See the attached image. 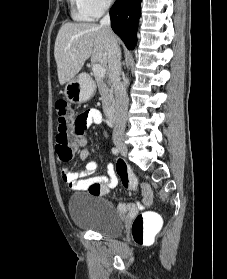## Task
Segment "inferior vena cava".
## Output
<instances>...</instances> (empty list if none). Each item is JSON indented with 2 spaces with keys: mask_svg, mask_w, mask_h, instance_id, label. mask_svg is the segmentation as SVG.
<instances>
[{
  "mask_svg": "<svg viewBox=\"0 0 227 279\" xmlns=\"http://www.w3.org/2000/svg\"><path fill=\"white\" fill-rule=\"evenodd\" d=\"M108 8V3L105 4ZM102 27L110 29V16L106 14L101 20ZM108 66L110 70V78L115 89V113H114V131L113 136L117 137L124 133L127 110L128 96L126 93L125 84L121 82V50L113 37L110 38L108 46Z\"/></svg>",
  "mask_w": 227,
  "mask_h": 279,
  "instance_id": "obj_1",
  "label": "inferior vena cava"
}]
</instances>
